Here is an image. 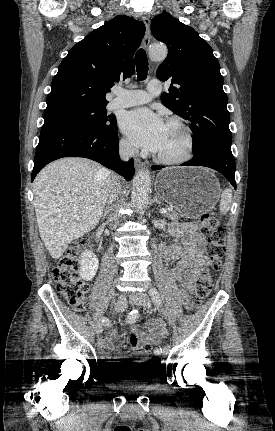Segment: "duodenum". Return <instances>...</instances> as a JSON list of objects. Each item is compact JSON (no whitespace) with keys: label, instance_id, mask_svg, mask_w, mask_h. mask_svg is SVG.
<instances>
[{"label":"duodenum","instance_id":"1","mask_svg":"<svg viewBox=\"0 0 275 431\" xmlns=\"http://www.w3.org/2000/svg\"><path fill=\"white\" fill-rule=\"evenodd\" d=\"M101 236H100V234H96V240L98 241V242H100L101 241Z\"/></svg>","mask_w":275,"mask_h":431}]
</instances>
